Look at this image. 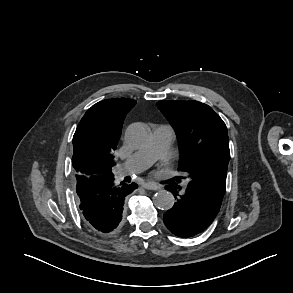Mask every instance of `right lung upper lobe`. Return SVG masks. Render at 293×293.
Masks as SVG:
<instances>
[{
	"mask_svg": "<svg viewBox=\"0 0 293 293\" xmlns=\"http://www.w3.org/2000/svg\"><path fill=\"white\" fill-rule=\"evenodd\" d=\"M135 100L115 98L100 101L87 110L73 136L74 171L80 176H113V154L126 113Z\"/></svg>",
	"mask_w": 293,
	"mask_h": 293,
	"instance_id": "1",
	"label": "right lung upper lobe"
}]
</instances>
